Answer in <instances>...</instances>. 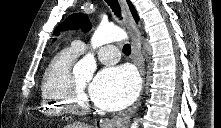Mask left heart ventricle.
Wrapping results in <instances>:
<instances>
[{
    "instance_id": "obj_1",
    "label": "left heart ventricle",
    "mask_w": 221,
    "mask_h": 128,
    "mask_svg": "<svg viewBox=\"0 0 221 128\" xmlns=\"http://www.w3.org/2000/svg\"><path fill=\"white\" fill-rule=\"evenodd\" d=\"M78 83L82 88L85 86V82L82 80H78Z\"/></svg>"
}]
</instances>
